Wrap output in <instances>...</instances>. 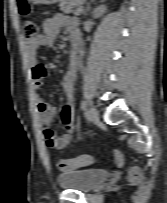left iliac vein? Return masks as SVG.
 Wrapping results in <instances>:
<instances>
[{
	"label": "left iliac vein",
	"mask_w": 167,
	"mask_h": 203,
	"mask_svg": "<svg viewBox=\"0 0 167 203\" xmlns=\"http://www.w3.org/2000/svg\"><path fill=\"white\" fill-rule=\"evenodd\" d=\"M87 118L92 123L99 121V113L95 107H90L87 111Z\"/></svg>",
	"instance_id": "1"
}]
</instances>
